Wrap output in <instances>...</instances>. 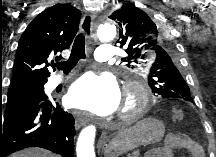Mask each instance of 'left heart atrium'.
<instances>
[{
    "mask_svg": "<svg viewBox=\"0 0 216 157\" xmlns=\"http://www.w3.org/2000/svg\"><path fill=\"white\" fill-rule=\"evenodd\" d=\"M66 103L94 114L109 115L120 106L121 93L112 76L88 73L71 85Z\"/></svg>",
    "mask_w": 216,
    "mask_h": 157,
    "instance_id": "1",
    "label": "left heart atrium"
}]
</instances>
